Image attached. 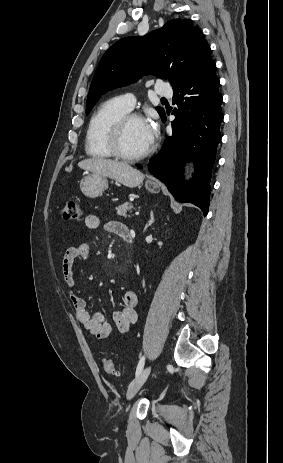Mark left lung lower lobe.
I'll list each match as a JSON object with an SVG mask.
<instances>
[{"mask_svg": "<svg viewBox=\"0 0 283 463\" xmlns=\"http://www.w3.org/2000/svg\"><path fill=\"white\" fill-rule=\"evenodd\" d=\"M212 61L186 82L174 88L172 134L162 151L150 159L148 169L160 179L179 202L193 203L208 213L210 179L221 140L222 96ZM166 120V117L162 119ZM185 161H193L195 174L183 180Z\"/></svg>", "mask_w": 283, "mask_h": 463, "instance_id": "1", "label": "left lung lower lobe"}]
</instances>
